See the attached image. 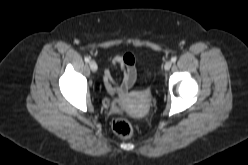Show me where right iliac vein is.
I'll return each instance as SVG.
<instances>
[{
	"label": "right iliac vein",
	"mask_w": 248,
	"mask_h": 165,
	"mask_svg": "<svg viewBox=\"0 0 248 165\" xmlns=\"http://www.w3.org/2000/svg\"><path fill=\"white\" fill-rule=\"evenodd\" d=\"M89 66L93 72L97 71L98 66L95 61H90Z\"/></svg>",
	"instance_id": "63e3f726"
}]
</instances>
